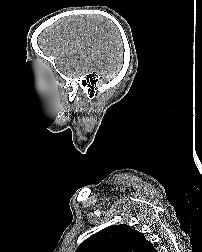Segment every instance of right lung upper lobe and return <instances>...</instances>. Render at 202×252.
Listing matches in <instances>:
<instances>
[{"label":"right lung upper lobe","instance_id":"1","mask_svg":"<svg viewBox=\"0 0 202 252\" xmlns=\"http://www.w3.org/2000/svg\"><path fill=\"white\" fill-rule=\"evenodd\" d=\"M76 252H157L140 232L126 224L113 225L86 239Z\"/></svg>","mask_w":202,"mask_h":252}]
</instances>
